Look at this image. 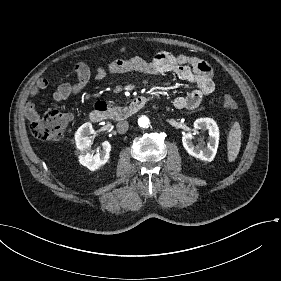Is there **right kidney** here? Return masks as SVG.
Returning a JSON list of instances; mask_svg holds the SVG:
<instances>
[{
    "instance_id": "obj_1",
    "label": "right kidney",
    "mask_w": 281,
    "mask_h": 281,
    "mask_svg": "<svg viewBox=\"0 0 281 281\" xmlns=\"http://www.w3.org/2000/svg\"><path fill=\"white\" fill-rule=\"evenodd\" d=\"M95 130L90 122L84 123L76 132L75 140L80 151L79 162L90 171L99 170L110 159L111 144L109 141L102 143L103 150L95 155L90 152L92 146L91 136Z\"/></svg>"
}]
</instances>
